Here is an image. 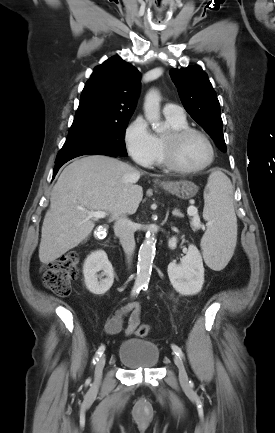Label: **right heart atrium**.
I'll use <instances>...</instances> for the list:
<instances>
[{
  "label": "right heart atrium",
  "instance_id": "1",
  "mask_svg": "<svg viewBox=\"0 0 275 433\" xmlns=\"http://www.w3.org/2000/svg\"><path fill=\"white\" fill-rule=\"evenodd\" d=\"M124 141L131 158L143 167L155 163L158 146L155 135L142 116L136 117L126 128Z\"/></svg>",
  "mask_w": 275,
  "mask_h": 433
}]
</instances>
